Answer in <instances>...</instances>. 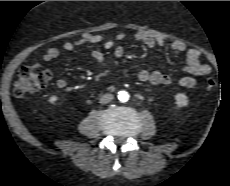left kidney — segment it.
<instances>
[{"label": "left kidney", "instance_id": "1", "mask_svg": "<svg viewBox=\"0 0 230 186\" xmlns=\"http://www.w3.org/2000/svg\"><path fill=\"white\" fill-rule=\"evenodd\" d=\"M175 101L178 107H185L188 105V97L183 93L176 94Z\"/></svg>", "mask_w": 230, "mask_h": 186}]
</instances>
